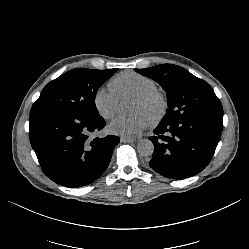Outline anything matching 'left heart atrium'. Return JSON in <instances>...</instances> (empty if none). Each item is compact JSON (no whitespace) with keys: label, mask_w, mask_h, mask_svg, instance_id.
<instances>
[{"label":"left heart atrium","mask_w":249,"mask_h":249,"mask_svg":"<svg viewBox=\"0 0 249 249\" xmlns=\"http://www.w3.org/2000/svg\"><path fill=\"white\" fill-rule=\"evenodd\" d=\"M148 126L147 119L141 114L131 116L117 115L108 125L110 133L120 136H134Z\"/></svg>","instance_id":"1"}]
</instances>
